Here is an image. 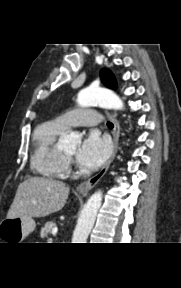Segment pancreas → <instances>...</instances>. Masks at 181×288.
<instances>
[{"instance_id":"obj_1","label":"pancreas","mask_w":181,"mask_h":288,"mask_svg":"<svg viewBox=\"0 0 181 288\" xmlns=\"http://www.w3.org/2000/svg\"><path fill=\"white\" fill-rule=\"evenodd\" d=\"M54 227H56L55 222L50 221V222L45 223L44 227L40 231V236L42 238L47 237V235L52 232Z\"/></svg>"}]
</instances>
